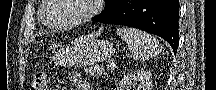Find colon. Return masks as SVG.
Returning a JSON list of instances; mask_svg holds the SVG:
<instances>
[{"instance_id": "obj_1", "label": "colon", "mask_w": 216, "mask_h": 90, "mask_svg": "<svg viewBox=\"0 0 216 90\" xmlns=\"http://www.w3.org/2000/svg\"><path fill=\"white\" fill-rule=\"evenodd\" d=\"M31 90H47V80L44 72H38L34 75Z\"/></svg>"}]
</instances>
